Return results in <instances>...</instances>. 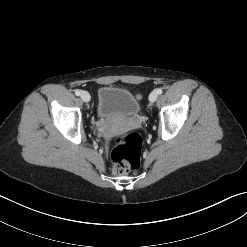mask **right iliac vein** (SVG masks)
<instances>
[{"label":"right iliac vein","instance_id":"63e3f726","mask_svg":"<svg viewBox=\"0 0 247 247\" xmlns=\"http://www.w3.org/2000/svg\"><path fill=\"white\" fill-rule=\"evenodd\" d=\"M80 97L84 102L90 101V94L87 91H82Z\"/></svg>","mask_w":247,"mask_h":247}]
</instances>
